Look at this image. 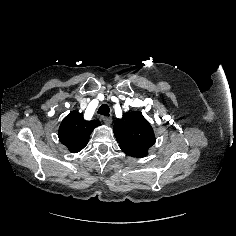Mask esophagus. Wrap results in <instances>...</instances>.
<instances>
[{
  "label": "esophagus",
  "instance_id": "obj_1",
  "mask_svg": "<svg viewBox=\"0 0 236 236\" xmlns=\"http://www.w3.org/2000/svg\"><path fill=\"white\" fill-rule=\"evenodd\" d=\"M103 121L105 124L110 125L112 122V118L110 116L103 117Z\"/></svg>",
  "mask_w": 236,
  "mask_h": 236
}]
</instances>
